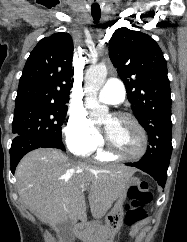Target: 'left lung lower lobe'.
<instances>
[{
  "mask_svg": "<svg viewBox=\"0 0 187 242\" xmlns=\"http://www.w3.org/2000/svg\"><path fill=\"white\" fill-rule=\"evenodd\" d=\"M170 160H155V161H138L135 163H128L126 165L133 166L150 174L158 184L164 188L167 179V170Z\"/></svg>",
  "mask_w": 187,
  "mask_h": 242,
  "instance_id": "1",
  "label": "left lung lower lobe"
}]
</instances>
